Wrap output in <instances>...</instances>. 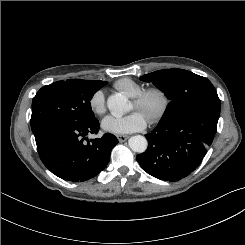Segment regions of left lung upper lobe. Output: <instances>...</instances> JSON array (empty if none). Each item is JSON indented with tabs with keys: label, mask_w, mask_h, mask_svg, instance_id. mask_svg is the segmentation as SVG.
Returning a JSON list of instances; mask_svg holds the SVG:
<instances>
[{
	"label": "left lung upper lobe",
	"mask_w": 245,
	"mask_h": 245,
	"mask_svg": "<svg viewBox=\"0 0 245 245\" xmlns=\"http://www.w3.org/2000/svg\"><path fill=\"white\" fill-rule=\"evenodd\" d=\"M140 80L152 82L171 100L158 125L169 124L193 111L210 110L220 114V99L205 77L172 68L143 75Z\"/></svg>",
	"instance_id": "1"
}]
</instances>
